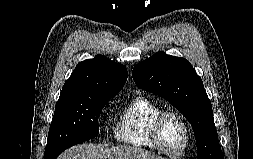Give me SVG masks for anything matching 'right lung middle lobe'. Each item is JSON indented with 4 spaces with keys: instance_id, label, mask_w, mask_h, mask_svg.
<instances>
[{
    "instance_id": "obj_1",
    "label": "right lung middle lobe",
    "mask_w": 253,
    "mask_h": 159,
    "mask_svg": "<svg viewBox=\"0 0 253 159\" xmlns=\"http://www.w3.org/2000/svg\"><path fill=\"white\" fill-rule=\"evenodd\" d=\"M111 98L82 96L58 100L44 159H55L65 149L96 137L98 117Z\"/></svg>"
}]
</instances>
